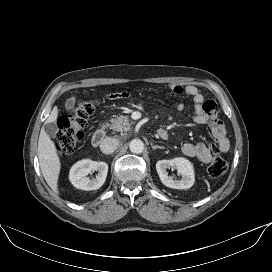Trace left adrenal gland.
Returning <instances> with one entry per match:
<instances>
[{
	"label": "left adrenal gland",
	"mask_w": 272,
	"mask_h": 272,
	"mask_svg": "<svg viewBox=\"0 0 272 272\" xmlns=\"http://www.w3.org/2000/svg\"><path fill=\"white\" fill-rule=\"evenodd\" d=\"M153 150H156V149H163L164 147L162 146H158V145H152L151 146Z\"/></svg>",
	"instance_id": "1"
}]
</instances>
